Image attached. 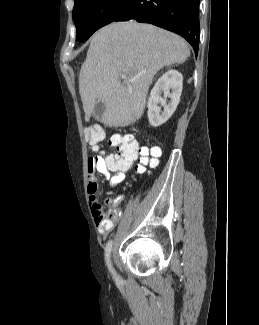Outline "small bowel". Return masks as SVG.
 <instances>
[{
  "label": "small bowel",
  "mask_w": 259,
  "mask_h": 325,
  "mask_svg": "<svg viewBox=\"0 0 259 325\" xmlns=\"http://www.w3.org/2000/svg\"><path fill=\"white\" fill-rule=\"evenodd\" d=\"M152 149H158L153 147ZM135 160L131 161L127 166L123 167L119 165V158L116 154L98 155L91 157L88 160V195L89 202L92 206L93 215L96 220V225L100 234L104 235L110 231L114 222L118 216L115 213V209L123 199V196H117L115 198L108 197L105 199V205L112 208L110 215H106L105 209L97 198V174H102L108 180L111 187H115L125 179L126 173L131 169Z\"/></svg>",
  "instance_id": "small-bowel-1"
}]
</instances>
